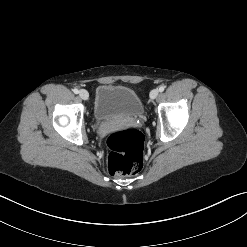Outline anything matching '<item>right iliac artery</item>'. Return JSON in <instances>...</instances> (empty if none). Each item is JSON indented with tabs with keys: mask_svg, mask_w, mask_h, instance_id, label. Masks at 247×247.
<instances>
[{
	"mask_svg": "<svg viewBox=\"0 0 247 247\" xmlns=\"http://www.w3.org/2000/svg\"><path fill=\"white\" fill-rule=\"evenodd\" d=\"M73 92H74L75 94H78V93H79V90H78L77 88H75V89L73 90Z\"/></svg>",
	"mask_w": 247,
	"mask_h": 247,
	"instance_id": "obj_1",
	"label": "right iliac artery"
}]
</instances>
